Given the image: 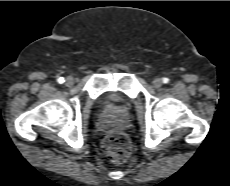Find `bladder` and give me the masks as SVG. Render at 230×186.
<instances>
[{
  "mask_svg": "<svg viewBox=\"0 0 230 186\" xmlns=\"http://www.w3.org/2000/svg\"><path fill=\"white\" fill-rule=\"evenodd\" d=\"M114 103L113 99H109V101L107 102V105H112Z\"/></svg>",
  "mask_w": 230,
  "mask_h": 186,
  "instance_id": "obj_1",
  "label": "bladder"
}]
</instances>
